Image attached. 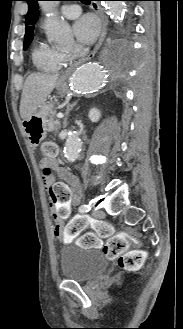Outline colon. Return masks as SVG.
Listing matches in <instances>:
<instances>
[{
  "label": "colon",
  "instance_id": "1",
  "mask_svg": "<svg viewBox=\"0 0 183 329\" xmlns=\"http://www.w3.org/2000/svg\"><path fill=\"white\" fill-rule=\"evenodd\" d=\"M41 154L45 160L55 158L58 154L57 144L51 141L44 142L41 146ZM44 176L47 178L50 176L48 169L44 170ZM88 225L93 227L94 233L89 232L80 237L79 244L82 247H101L107 258L117 259L119 266L125 270L137 269L146 260L148 256L146 251L141 249L128 251L132 240L125 235L114 234L113 228L103 221L91 222L82 217L74 218L64 228L63 235L68 239L77 237ZM102 238L106 239L105 243H102Z\"/></svg>",
  "mask_w": 183,
  "mask_h": 329
}]
</instances>
